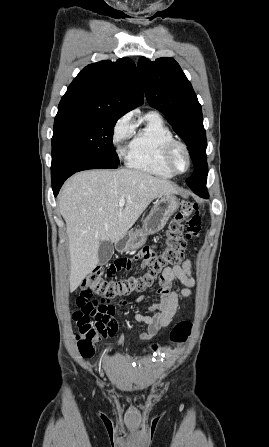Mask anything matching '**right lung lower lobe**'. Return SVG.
<instances>
[{"label": "right lung lower lobe", "mask_w": 269, "mask_h": 447, "mask_svg": "<svg viewBox=\"0 0 269 447\" xmlns=\"http://www.w3.org/2000/svg\"><path fill=\"white\" fill-rule=\"evenodd\" d=\"M118 165L90 156L58 150L52 152L51 179L56 197L64 181L72 174L87 169L117 168Z\"/></svg>", "instance_id": "right-lung-lower-lobe-1"}]
</instances>
